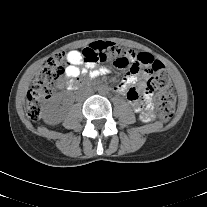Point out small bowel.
<instances>
[{"label": "small bowel", "mask_w": 207, "mask_h": 207, "mask_svg": "<svg viewBox=\"0 0 207 207\" xmlns=\"http://www.w3.org/2000/svg\"><path fill=\"white\" fill-rule=\"evenodd\" d=\"M67 61L68 66L65 73L70 78L66 84L69 90L78 87V77L81 75L96 78L109 73V69L106 67L96 68L90 64L82 67L83 57L79 50H70L67 53ZM143 77L144 74H141L140 71L132 72L129 70L122 82L115 87V92L127 96L134 111L140 115L143 121L148 122L153 118V104L151 96L143 93L146 88Z\"/></svg>", "instance_id": "c3829d8e"}]
</instances>
